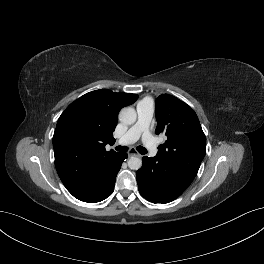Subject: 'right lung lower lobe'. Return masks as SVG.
Listing matches in <instances>:
<instances>
[{
	"mask_svg": "<svg viewBox=\"0 0 264 264\" xmlns=\"http://www.w3.org/2000/svg\"><path fill=\"white\" fill-rule=\"evenodd\" d=\"M127 158V154L122 153L118 154L111 162L106 175H105V186L101 190V192L92 198L91 200L84 201V202H90V203H96L100 202L104 199H106L108 196L111 195V193L114 191V184H115V179L118 171L121 168L122 162Z\"/></svg>",
	"mask_w": 264,
	"mask_h": 264,
	"instance_id": "obj_1",
	"label": "right lung lower lobe"
}]
</instances>
